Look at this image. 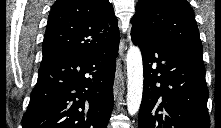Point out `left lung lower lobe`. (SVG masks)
I'll list each match as a JSON object with an SVG mask.
<instances>
[{
	"instance_id": "obj_1",
	"label": "left lung lower lobe",
	"mask_w": 221,
	"mask_h": 128,
	"mask_svg": "<svg viewBox=\"0 0 221 128\" xmlns=\"http://www.w3.org/2000/svg\"><path fill=\"white\" fill-rule=\"evenodd\" d=\"M144 92L139 128H209L203 59L162 39H142Z\"/></svg>"
}]
</instances>
